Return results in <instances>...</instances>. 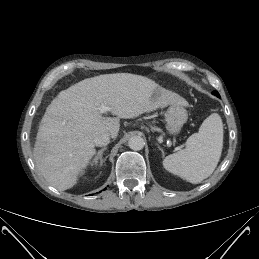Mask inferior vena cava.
I'll return each instance as SVG.
<instances>
[{
  "mask_svg": "<svg viewBox=\"0 0 259 259\" xmlns=\"http://www.w3.org/2000/svg\"><path fill=\"white\" fill-rule=\"evenodd\" d=\"M110 142V134L108 132H102L94 138V144L96 146H106Z\"/></svg>",
  "mask_w": 259,
  "mask_h": 259,
  "instance_id": "602c4592",
  "label": "inferior vena cava"
}]
</instances>
